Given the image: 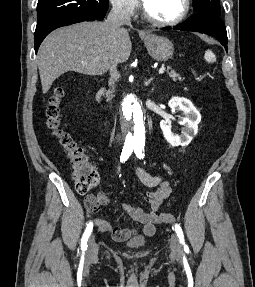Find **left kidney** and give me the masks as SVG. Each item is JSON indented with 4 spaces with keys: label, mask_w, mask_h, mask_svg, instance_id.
Wrapping results in <instances>:
<instances>
[{
    "label": "left kidney",
    "mask_w": 255,
    "mask_h": 287,
    "mask_svg": "<svg viewBox=\"0 0 255 287\" xmlns=\"http://www.w3.org/2000/svg\"><path fill=\"white\" fill-rule=\"evenodd\" d=\"M169 108H172L174 112H181V116L184 118H180L178 124L184 126L181 136H175L171 132V122H167V120H161L160 128L163 132V136L165 140H167L168 144L172 145V147H176V145H184L189 144L191 140H193L194 136H196L198 132V124L201 122V116L194 108L192 102L187 100V98H171L168 102Z\"/></svg>",
    "instance_id": "left-kidney-1"
}]
</instances>
